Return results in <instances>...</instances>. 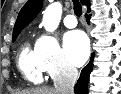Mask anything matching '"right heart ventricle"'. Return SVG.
Instances as JSON below:
<instances>
[{
    "label": "right heart ventricle",
    "instance_id": "1",
    "mask_svg": "<svg viewBox=\"0 0 121 94\" xmlns=\"http://www.w3.org/2000/svg\"><path fill=\"white\" fill-rule=\"evenodd\" d=\"M18 67L29 83L39 84L43 81V70L38 64L35 48L31 49L28 43H24L20 50Z\"/></svg>",
    "mask_w": 121,
    "mask_h": 94
}]
</instances>
